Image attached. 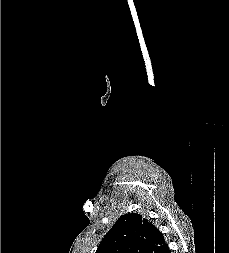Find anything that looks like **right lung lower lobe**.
<instances>
[{
  "instance_id": "right-lung-lower-lobe-1",
  "label": "right lung lower lobe",
  "mask_w": 229,
  "mask_h": 253,
  "mask_svg": "<svg viewBox=\"0 0 229 253\" xmlns=\"http://www.w3.org/2000/svg\"><path fill=\"white\" fill-rule=\"evenodd\" d=\"M165 253H171V252H170V250H169V248L166 250V252H165Z\"/></svg>"
}]
</instances>
